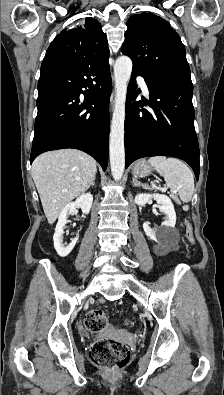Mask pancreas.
<instances>
[{
    "label": "pancreas",
    "instance_id": "1",
    "mask_svg": "<svg viewBox=\"0 0 224 395\" xmlns=\"http://www.w3.org/2000/svg\"><path fill=\"white\" fill-rule=\"evenodd\" d=\"M172 199H174L177 203L179 202V200L177 199V197L173 194H171Z\"/></svg>",
    "mask_w": 224,
    "mask_h": 395
}]
</instances>
